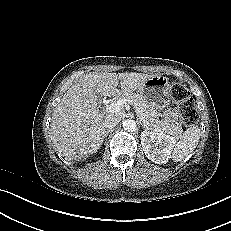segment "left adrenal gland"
Here are the masks:
<instances>
[{
  "instance_id": "obj_1",
  "label": "left adrenal gland",
  "mask_w": 231,
  "mask_h": 231,
  "mask_svg": "<svg viewBox=\"0 0 231 231\" xmlns=\"http://www.w3.org/2000/svg\"><path fill=\"white\" fill-rule=\"evenodd\" d=\"M140 124H141L142 126H144V129H145V130H148V129H149L144 123H141V122H140Z\"/></svg>"
}]
</instances>
